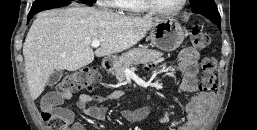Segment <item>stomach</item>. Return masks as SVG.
<instances>
[{
  "mask_svg": "<svg viewBox=\"0 0 257 130\" xmlns=\"http://www.w3.org/2000/svg\"><path fill=\"white\" fill-rule=\"evenodd\" d=\"M185 38L181 24L174 18L168 17L159 20L151 29V43L163 51H174L182 44ZM113 63L116 58H110ZM105 60V61H106Z\"/></svg>",
  "mask_w": 257,
  "mask_h": 130,
  "instance_id": "obj_1",
  "label": "stomach"
}]
</instances>
